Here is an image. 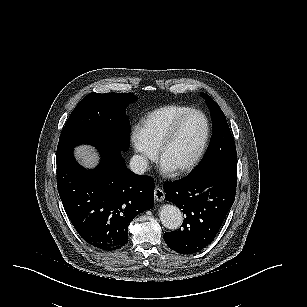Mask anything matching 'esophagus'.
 I'll use <instances>...</instances> for the list:
<instances>
[{
  "label": "esophagus",
  "mask_w": 307,
  "mask_h": 307,
  "mask_svg": "<svg viewBox=\"0 0 307 307\" xmlns=\"http://www.w3.org/2000/svg\"><path fill=\"white\" fill-rule=\"evenodd\" d=\"M154 197H155V200L158 201V202H161V201L164 200L165 194L160 187L155 188Z\"/></svg>",
  "instance_id": "1"
}]
</instances>
